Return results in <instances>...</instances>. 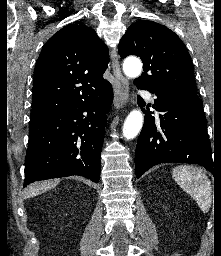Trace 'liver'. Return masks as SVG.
Wrapping results in <instances>:
<instances>
[{
    "mask_svg": "<svg viewBox=\"0 0 221 256\" xmlns=\"http://www.w3.org/2000/svg\"><path fill=\"white\" fill-rule=\"evenodd\" d=\"M59 182H60L59 179H55V180H48L41 183L32 184L26 188L25 196L33 197V196L39 195L55 187L56 185H58Z\"/></svg>",
    "mask_w": 221,
    "mask_h": 256,
    "instance_id": "liver-1",
    "label": "liver"
}]
</instances>
